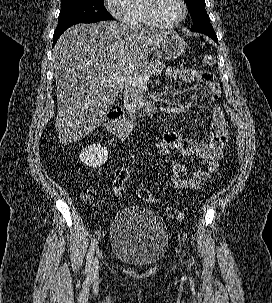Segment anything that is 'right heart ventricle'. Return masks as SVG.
Instances as JSON below:
<instances>
[{
    "label": "right heart ventricle",
    "instance_id": "1",
    "mask_svg": "<svg viewBox=\"0 0 272 303\" xmlns=\"http://www.w3.org/2000/svg\"><path fill=\"white\" fill-rule=\"evenodd\" d=\"M145 0H129L124 21L134 27L151 26L146 19L144 10Z\"/></svg>",
    "mask_w": 272,
    "mask_h": 303
}]
</instances>
